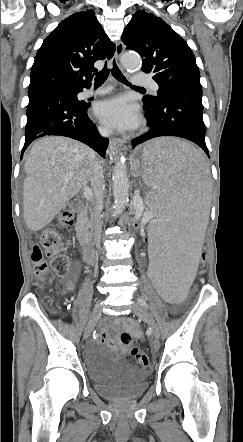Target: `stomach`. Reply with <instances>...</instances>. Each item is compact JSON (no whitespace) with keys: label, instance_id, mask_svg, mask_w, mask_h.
<instances>
[{"label":"stomach","instance_id":"obj_1","mask_svg":"<svg viewBox=\"0 0 243 442\" xmlns=\"http://www.w3.org/2000/svg\"><path fill=\"white\" fill-rule=\"evenodd\" d=\"M137 165H141L140 164V160H134L131 163V168H132V174L135 176V171H136V167Z\"/></svg>","mask_w":243,"mask_h":442}]
</instances>
